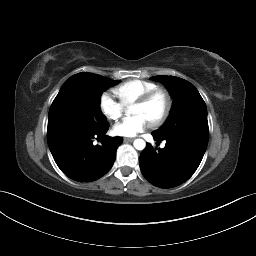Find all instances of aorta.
<instances>
[{
    "label": "aorta",
    "instance_id": "obj_1",
    "mask_svg": "<svg viewBox=\"0 0 256 256\" xmlns=\"http://www.w3.org/2000/svg\"><path fill=\"white\" fill-rule=\"evenodd\" d=\"M127 114H130V110H127ZM133 146L137 150H143L146 146V142L143 139H135L133 142Z\"/></svg>",
    "mask_w": 256,
    "mask_h": 256
}]
</instances>
